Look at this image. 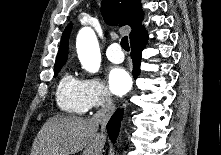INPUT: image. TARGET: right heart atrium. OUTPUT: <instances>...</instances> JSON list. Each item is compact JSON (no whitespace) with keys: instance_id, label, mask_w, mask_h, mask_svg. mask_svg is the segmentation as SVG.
<instances>
[{"instance_id":"right-heart-atrium-1","label":"right heart atrium","mask_w":221,"mask_h":155,"mask_svg":"<svg viewBox=\"0 0 221 155\" xmlns=\"http://www.w3.org/2000/svg\"><path fill=\"white\" fill-rule=\"evenodd\" d=\"M83 86L89 109L104 107L112 103L111 94L100 79L86 78L83 80Z\"/></svg>"}]
</instances>
